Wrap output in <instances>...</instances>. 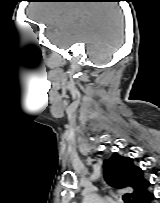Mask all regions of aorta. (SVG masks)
<instances>
[{
    "label": "aorta",
    "instance_id": "1",
    "mask_svg": "<svg viewBox=\"0 0 160 203\" xmlns=\"http://www.w3.org/2000/svg\"><path fill=\"white\" fill-rule=\"evenodd\" d=\"M83 203H102V199L97 194H88L84 197Z\"/></svg>",
    "mask_w": 160,
    "mask_h": 203
}]
</instances>
